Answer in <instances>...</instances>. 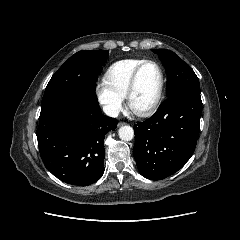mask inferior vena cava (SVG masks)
<instances>
[{"mask_svg": "<svg viewBox=\"0 0 240 240\" xmlns=\"http://www.w3.org/2000/svg\"><path fill=\"white\" fill-rule=\"evenodd\" d=\"M103 111L107 116H110V117L116 118L119 115V109L112 105L103 106Z\"/></svg>", "mask_w": 240, "mask_h": 240, "instance_id": "602c4592", "label": "inferior vena cava"}]
</instances>
